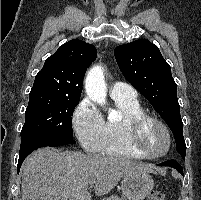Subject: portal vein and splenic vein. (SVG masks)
I'll return each mask as SVG.
<instances>
[{"label":"portal vein and splenic vein","instance_id":"obj_1","mask_svg":"<svg viewBox=\"0 0 201 200\" xmlns=\"http://www.w3.org/2000/svg\"><path fill=\"white\" fill-rule=\"evenodd\" d=\"M93 184H94V182H90V183H89V187H92Z\"/></svg>","mask_w":201,"mask_h":200}]
</instances>
